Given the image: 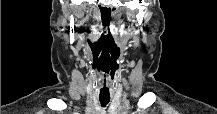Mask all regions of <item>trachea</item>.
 Returning <instances> with one entry per match:
<instances>
[{"label": "trachea", "instance_id": "obj_1", "mask_svg": "<svg viewBox=\"0 0 217 114\" xmlns=\"http://www.w3.org/2000/svg\"><path fill=\"white\" fill-rule=\"evenodd\" d=\"M100 100V103L103 107H105L109 102H110V99H99Z\"/></svg>", "mask_w": 217, "mask_h": 114}]
</instances>
